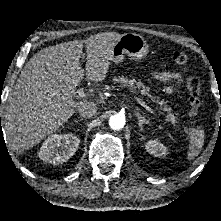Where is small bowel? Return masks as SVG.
I'll return each instance as SVG.
<instances>
[{
	"label": "small bowel",
	"instance_id": "obj_1",
	"mask_svg": "<svg viewBox=\"0 0 221 221\" xmlns=\"http://www.w3.org/2000/svg\"><path fill=\"white\" fill-rule=\"evenodd\" d=\"M153 78L162 83H170L164 87V91L169 94L173 93L182 82V76L177 72L171 71L155 72L153 73Z\"/></svg>",
	"mask_w": 221,
	"mask_h": 221
}]
</instances>
